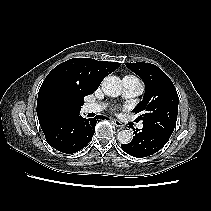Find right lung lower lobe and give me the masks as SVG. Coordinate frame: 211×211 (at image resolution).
I'll list each match as a JSON object with an SVG mask.
<instances>
[{
	"mask_svg": "<svg viewBox=\"0 0 211 211\" xmlns=\"http://www.w3.org/2000/svg\"><path fill=\"white\" fill-rule=\"evenodd\" d=\"M80 111H60L40 123L46 141L63 153L71 154L83 149L92 139L98 119L83 118Z\"/></svg>",
	"mask_w": 211,
	"mask_h": 211,
	"instance_id": "obj_1",
	"label": "right lung lower lobe"
}]
</instances>
